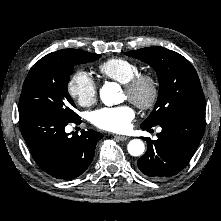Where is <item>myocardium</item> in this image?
<instances>
[{"instance_id":"myocardium-1","label":"myocardium","mask_w":221,"mask_h":221,"mask_svg":"<svg viewBox=\"0 0 221 221\" xmlns=\"http://www.w3.org/2000/svg\"><path fill=\"white\" fill-rule=\"evenodd\" d=\"M124 91L128 95V100L141 110L152 109L159 97L158 81L150 73H139L134 76L124 84Z\"/></svg>"}]
</instances>
